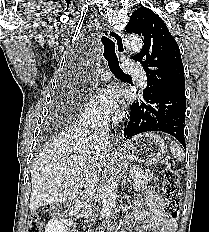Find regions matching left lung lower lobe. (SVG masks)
Here are the masks:
<instances>
[{"mask_svg": "<svg viewBox=\"0 0 209 232\" xmlns=\"http://www.w3.org/2000/svg\"><path fill=\"white\" fill-rule=\"evenodd\" d=\"M185 97L172 93H152L134 101L130 120L123 128V138L140 133L162 131L174 136L185 148Z\"/></svg>", "mask_w": 209, "mask_h": 232, "instance_id": "0a47b994", "label": "left lung lower lobe"}]
</instances>
